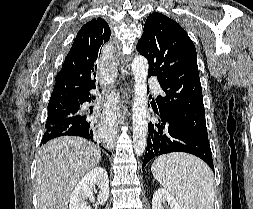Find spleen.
<instances>
[{"instance_id": "1", "label": "spleen", "mask_w": 253, "mask_h": 209, "mask_svg": "<svg viewBox=\"0 0 253 209\" xmlns=\"http://www.w3.org/2000/svg\"><path fill=\"white\" fill-rule=\"evenodd\" d=\"M151 171L183 209H213V173L199 158L184 153L162 155L154 160Z\"/></svg>"}]
</instances>
